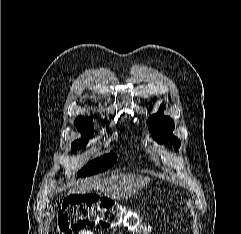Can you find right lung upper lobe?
Listing matches in <instances>:
<instances>
[{
	"mask_svg": "<svg viewBox=\"0 0 241 234\" xmlns=\"http://www.w3.org/2000/svg\"><path fill=\"white\" fill-rule=\"evenodd\" d=\"M75 125L77 127L78 130L81 131H92V127H93V121L88 118V117H77L75 119ZM89 127L91 129H89Z\"/></svg>",
	"mask_w": 241,
	"mask_h": 234,
	"instance_id": "obj_1",
	"label": "right lung upper lobe"
}]
</instances>
